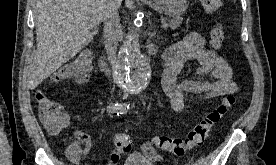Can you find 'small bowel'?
<instances>
[{"mask_svg":"<svg viewBox=\"0 0 276 165\" xmlns=\"http://www.w3.org/2000/svg\"><path fill=\"white\" fill-rule=\"evenodd\" d=\"M163 59L166 66L162 87L170 99L172 109L177 113L184 110L187 100L213 99L238 91L231 66L217 51L207 46L205 37L198 32H190L171 45L165 51ZM188 61L198 62L197 78L177 81L178 74ZM73 134L75 141L68 148V156L73 162L79 163L91 149L92 140L88 134L81 131H74ZM148 147L149 143L143 147L145 156V149ZM120 156L116 150L112 152L107 165H117ZM148 159L157 160L158 155L156 154L154 159Z\"/></svg>","mask_w":276,"mask_h":165,"instance_id":"obj_1","label":"small bowel"}]
</instances>
